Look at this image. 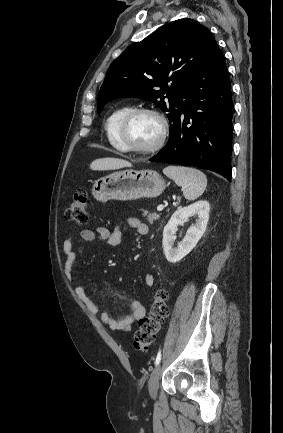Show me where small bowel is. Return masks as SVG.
Listing matches in <instances>:
<instances>
[{
	"mask_svg": "<svg viewBox=\"0 0 283 433\" xmlns=\"http://www.w3.org/2000/svg\"><path fill=\"white\" fill-rule=\"evenodd\" d=\"M126 224L135 229L140 235H147L149 227L136 217L125 218ZM79 236L83 241L94 242L104 241L110 246H118L122 241V230L120 226H116L113 230H109L104 226H98L95 229H82ZM64 254V274L67 280L74 286L77 297L84 303L86 308L93 314L99 315L101 321L113 332H128L131 330L135 322L140 321L146 315V309L143 304L136 299L128 300V307L131 311L129 315L122 316L118 319L113 318L110 314L102 311L97 304L87 295L85 288L76 280L73 265L76 259V254L73 251V241L71 237L65 239L63 243ZM154 275L147 273L144 276V283L147 286L154 284Z\"/></svg>",
	"mask_w": 283,
	"mask_h": 433,
	"instance_id": "small-bowel-1",
	"label": "small bowel"
}]
</instances>
